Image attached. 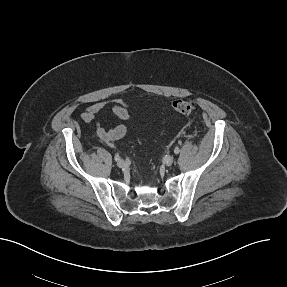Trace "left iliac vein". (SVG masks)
I'll use <instances>...</instances> for the list:
<instances>
[{
  "label": "left iliac vein",
  "mask_w": 287,
  "mask_h": 287,
  "mask_svg": "<svg viewBox=\"0 0 287 287\" xmlns=\"http://www.w3.org/2000/svg\"><path fill=\"white\" fill-rule=\"evenodd\" d=\"M173 162H174V158L173 157H169L165 161V166H171L173 164Z\"/></svg>",
  "instance_id": "obj_1"
}]
</instances>
